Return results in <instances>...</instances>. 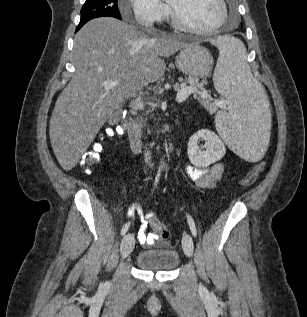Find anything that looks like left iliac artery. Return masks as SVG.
<instances>
[{
  "instance_id": "obj_1",
  "label": "left iliac artery",
  "mask_w": 307,
  "mask_h": 317,
  "mask_svg": "<svg viewBox=\"0 0 307 317\" xmlns=\"http://www.w3.org/2000/svg\"><path fill=\"white\" fill-rule=\"evenodd\" d=\"M187 220H188L189 227H190V230H191V232H192V235H193L194 237H196V227H195V223H194L193 219L191 218V216H189L188 214H187Z\"/></svg>"
}]
</instances>
